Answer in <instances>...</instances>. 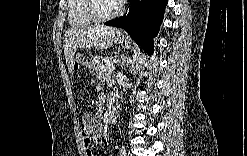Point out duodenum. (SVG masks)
<instances>
[{
  "label": "duodenum",
  "instance_id": "1",
  "mask_svg": "<svg viewBox=\"0 0 247 156\" xmlns=\"http://www.w3.org/2000/svg\"><path fill=\"white\" fill-rule=\"evenodd\" d=\"M119 109L117 107H113L111 112H110V118L112 121H117L118 117H119Z\"/></svg>",
  "mask_w": 247,
  "mask_h": 156
}]
</instances>
